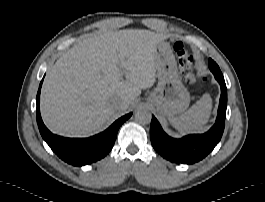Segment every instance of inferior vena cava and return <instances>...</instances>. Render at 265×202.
Instances as JSON below:
<instances>
[{
    "instance_id": "1",
    "label": "inferior vena cava",
    "mask_w": 265,
    "mask_h": 202,
    "mask_svg": "<svg viewBox=\"0 0 265 202\" xmlns=\"http://www.w3.org/2000/svg\"><path fill=\"white\" fill-rule=\"evenodd\" d=\"M112 103L114 107H119L121 103V97H113L112 98Z\"/></svg>"
}]
</instances>
